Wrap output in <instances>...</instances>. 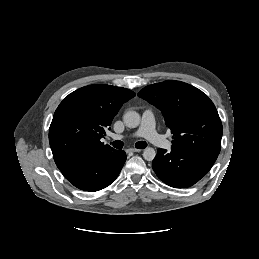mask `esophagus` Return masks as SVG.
Instances as JSON below:
<instances>
[{"label": "esophagus", "instance_id": "1", "mask_svg": "<svg viewBox=\"0 0 259 259\" xmlns=\"http://www.w3.org/2000/svg\"><path fill=\"white\" fill-rule=\"evenodd\" d=\"M128 151H130V152H140L141 149L130 148Z\"/></svg>", "mask_w": 259, "mask_h": 259}]
</instances>
